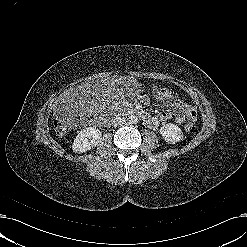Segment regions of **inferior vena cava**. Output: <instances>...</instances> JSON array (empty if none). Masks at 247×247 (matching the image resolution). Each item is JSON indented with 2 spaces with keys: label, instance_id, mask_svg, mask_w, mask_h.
I'll list each match as a JSON object with an SVG mask.
<instances>
[{
  "label": "inferior vena cava",
  "instance_id": "inferior-vena-cava-1",
  "mask_svg": "<svg viewBox=\"0 0 247 247\" xmlns=\"http://www.w3.org/2000/svg\"><path fill=\"white\" fill-rule=\"evenodd\" d=\"M125 123H126V119L125 117L122 116H116L111 122L112 126L114 127L122 126Z\"/></svg>",
  "mask_w": 247,
  "mask_h": 247
}]
</instances>
